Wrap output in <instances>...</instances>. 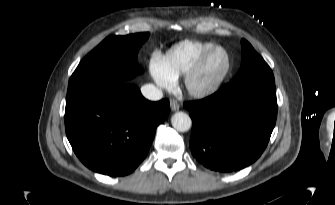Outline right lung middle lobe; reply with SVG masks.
Masks as SVG:
<instances>
[{
	"label": "right lung middle lobe",
	"instance_id": "right-lung-middle-lobe-1",
	"mask_svg": "<svg viewBox=\"0 0 335 205\" xmlns=\"http://www.w3.org/2000/svg\"><path fill=\"white\" fill-rule=\"evenodd\" d=\"M149 35L108 36L81 60L69 80L68 89L95 78L112 77L124 81L141 73L137 53Z\"/></svg>",
	"mask_w": 335,
	"mask_h": 205
}]
</instances>
